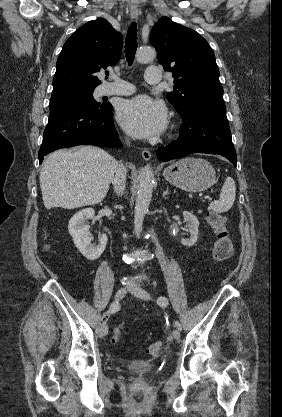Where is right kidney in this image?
<instances>
[{"mask_svg":"<svg viewBox=\"0 0 282 417\" xmlns=\"http://www.w3.org/2000/svg\"><path fill=\"white\" fill-rule=\"evenodd\" d=\"M94 209H82L71 217L68 223V231L74 241L75 247L82 253L83 257L89 261H96L104 253L108 241L107 235H101L98 245H92L89 237V225H86L88 219H93Z\"/></svg>","mask_w":282,"mask_h":417,"instance_id":"1","label":"right kidney"}]
</instances>
